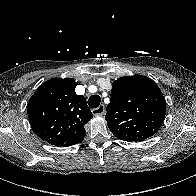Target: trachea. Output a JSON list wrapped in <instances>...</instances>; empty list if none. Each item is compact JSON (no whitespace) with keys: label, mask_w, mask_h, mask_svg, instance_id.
<instances>
[{"label":"trachea","mask_w":196,"mask_h":196,"mask_svg":"<svg viewBox=\"0 0 196 196\" xmlns=\"http://www.w3.org/2000/svg\"><path fill=\"white\" fill-rule=\"evenodd\" d=\"M101 98L99 95H92L88 99V105L90 108H97L100 105Z\"/></svg>","instance_id":"3493384b"}]
</instances>
